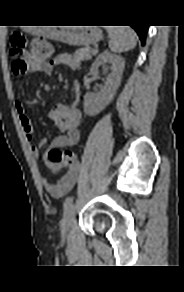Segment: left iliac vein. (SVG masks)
<instances>
[{
    "mask_svg": "<svg viewBox=\"0 0 184 292\" xmlns=\"http://www.w3.org/2000/svg\"><path fill=\"white\" fill-rule=\"evenodd\" d=\"M75 217V210L74 206H70L65 210L64 216L61 220L60 229H61V235L65 237L68 232L70 231Z\"/></svg>",
    "mask_w": 184,
    "mask_h": 292,
    "instance_id": "1",
    "label": "left iliac vein"
}]
</instances>
